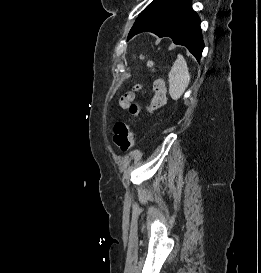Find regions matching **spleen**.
<instances>
[{"label": "spleen", "mask_w": 261, "mask_h": 273, "mask_svg": "<svg viewBox=\"0 0 261 273\" xmlns=\"http://www.w3.org/2000/svg\"><path fill=\"white\" fill-rule=\"evenodd\" d=\"M168 77L169 94L173 100L177 101L183 95L190 83V74L187 62L183 55L178 54L176 61L171 67Z\"/></svg>", "instance_id": "3e777b00"}]
</instances>
